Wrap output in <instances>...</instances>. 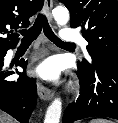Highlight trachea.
I'll return each instance as SVG.
<instances>
[{
	"label": "trachea",
	"instance_id": "trachea-1",
	"mask_svg": "<svg viewBox=\"0 0 118 123\" xmlns=\"http://www.w3.org/2000/svg\"><path fill=\"white\" fill-rule=\"evenodd\" d=\"M45 36L56 45H73V43L64 42L59 39L55 33L52 31L47 18L45 15L40 14L34 25L28 30H22L21 34L23 36L22 42H33L40 34L41 30Z\"/></svg>",
	"mask_w": 118,
	"mask_h": 123
}]
</instances>
